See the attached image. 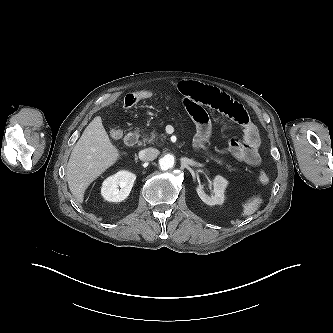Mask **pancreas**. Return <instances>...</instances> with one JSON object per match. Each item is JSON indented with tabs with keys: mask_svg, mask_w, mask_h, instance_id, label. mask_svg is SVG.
Listing matches in <instances>:
<instances>
[{
	"mask_svg": "<svg viewBox=\"0 0 333 333\" xmlns=\"http://www.w3.org/2000/svg\"><path fill=\"white\" fill-rule=\"evenodd\" d=\"M161 125H162V123H161ZM159 137H164V135L161 134L159 136L155 130H152L151 133H150V135H148V134H144L143 135V142H144V144L145 143L153 144V143L157 142V140H158ZM216 161L218 163H221L220 160H216Z\"/></svg>",
	"mask_w": 333,
	"mask_h": 333,
	"instance_id": "obj_1",
	"label": "pancreas"
}]
</instances>
